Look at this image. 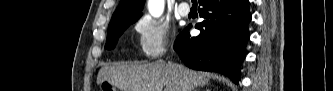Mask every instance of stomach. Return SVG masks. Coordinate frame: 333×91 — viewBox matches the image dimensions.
<instances>
[{
  "instance_id": "0dacf381",
  "label": "stomach",
  "mask_w": 333,
  "mask_h": 91,
  "mask_svg": "<svg viewBox=\"0 0 333 91\" xmlns=\"http://www.w3.org/2000/svg\"><path fill=\"white\" fill-rule=\"evenodd\" d=\"M100 91H117L116 86H114L110 81L104 79L99 84Z\"/></svg>"
}]
</instances>
